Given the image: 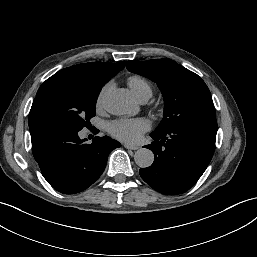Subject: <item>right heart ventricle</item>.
Wrapping results in <instances>:
<instances>
[{
	"mask_svg": "<svg viewBox=\"0 0 257 257\" xmlns=\"http://www.w3.org/2000/svg\"><path fill=\"white\" fill-rule=\"evenodd\" d=\"M128 86L137 100L143 97L150 98L152 95L151 84L143 77L131 76L128 79Z\"/></svg>",
	"mask_w": 257,
	"mask_h": 257,
	"instance_id": "obj_1",
	"label": "right heart ventricle"
}]
</instances>
